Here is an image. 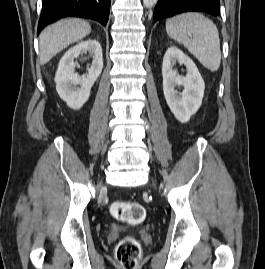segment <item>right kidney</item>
Masks as SVG:
<instances>
[{
    "label": "right kidney",
    "mask_w": 265,
    "mask_h": 269,
    "mask_svg": "<svg viewBox=\"0 0 265 269\" xmlns=\"http://www.w3.org/2000/svg\"><path fill=\"white\" fill-rule=\"evenodd\" d=\"M89 53L92 58L88 74L80 77L75 73L74 60L80 54ZM103 69V55L97 40H87L70 48L61 58L55 75L56 90L62 100L74 109H80L89 99L90 90Z\"/></svg>",
    "instance_id": "right-kidney-1"
}]
</instances>
